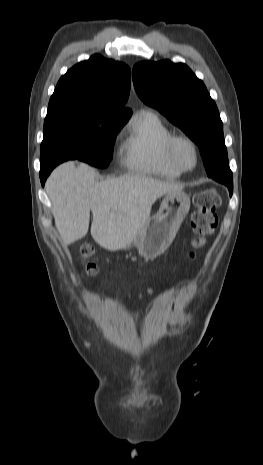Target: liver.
<instances>
[{
	"label": "liver",
	"instance_id": "1",
	"mask_svg": "<svg viewBox=\"0 0 263 465\" xmlns=\"http://www.w3.org/2000/svg\"><path fill=\"white\" fill-rule=\"evenodd\" d=\"M96 170L72 162L58 166L46 182L61 242L83 238L93 214L91 236L102 248L116 251L128 246L149 218L152 205L164 194L182 191V184L143 175H124L102 182Z\"/></svg>",
	"mask_w": 263,
	"mask_h": 465
}]
</instances>
